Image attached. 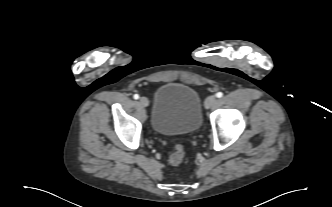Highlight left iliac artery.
<instances>
[{
	"mask_svg": "<svg viewBox=\"0 0 332 207\" xmlns=\"http://www.w3.org/2000/svg\"><path fill=\"white\" fill-rule=\"evenodd\" d=\"M223 96V93L222 92H218L217 94H216V97L217 98H221Z\"/></svg>",
	"mask_w": 332,
	"mask_h": 207,
	"instance_id": "obj_1",
	"label": "left iliac artery"
}]
</instances>
